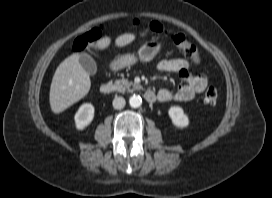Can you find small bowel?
<instances>
[{"label":"small bowel","mask_w":272,"mask_h":198,"mask_svg":"<svg viewBox=\"0 0 272 198\" xmlns=\"http://www.w3.org/2000/svg\"><path fill=\"white\" fill-rule=\"evenodd\" d=\"M157 68L163 72L176 73L183 84L176 91L161 89L157 93L159 102L178 101L187 102L197 94L202 93L209 84V79L203 74H192L191 64L181 58L163 59L158 62Z\"/></svg>","instance_id":"obj_1"}]
</instances>
